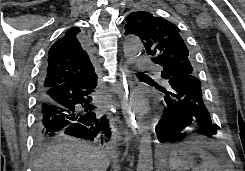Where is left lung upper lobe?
Instances as JSON below:
<instances>
[{
    "mask_svg": "<svg viewBox=\"0 0 245 171\" xmlns=\"http://www.w3.org/2000/svg\"><path fill=\"white\" fill-rule=\"evenodd\" d=\"M125 35L135 34L144 44L152 61L163 67L162 78L179 73L196 75L192 56L181 31L173 23L148 12H133L126 18Z\"/></svg>",
    "mask_w": 245,
    "mask_h": 171,
    "instance_id": "obj_1",
    "label": "left lung upper lobe"
}]
</instances>
